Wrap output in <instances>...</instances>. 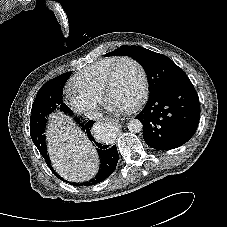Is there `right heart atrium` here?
Returning a JSON list of instances; mask_svg holds the SVG:
<instances>
[{"label":"right heart atrium","instance_id":"1","mask_svg":"<svg viewBox=\"0 0 227 227\" xmlns=\"http://www.w3.org/2000/svg\"><path fill=\"white\" fill-rule=\"evenodd\" d=\"M67 104L75 112L90 117L99 109L101 99L74 91L67 94Z\"/></svg>","mask_w":227,"mask_h":227}]
</instances>
